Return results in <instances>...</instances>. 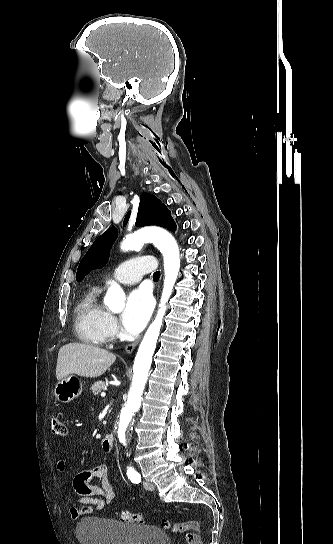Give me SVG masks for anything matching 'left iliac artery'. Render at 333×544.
Listing matches in <instances>:
<instances>
[{
    "label": "left iliac artery",
    "mask_w": 333,
    "mask_h": 544,
    "mask_svg": "<svg viewBox=\"0 0 333 544\" xmlns=\"http://www.w3.org/2000/svg\"><path fill=\"white\" fill-rule=\"evenodd\" d=\"M127 476L132 483L138 484L141 481L140 474L132 467H127Z\"/></svg>",
    "instance_id": "1"
}]
</instances>
